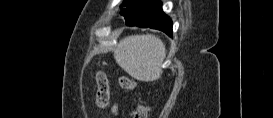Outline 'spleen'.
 Listing matches in <instances>:
<instances>
[{"label":"spleen","instance_id":"3e777b00","mask_svg":"<svg viewBox=\"0 0 273 118\" xmlns=\"http://www.w3.org/2000/svg\"><path fill=\"white\" fill-rule=\"evenodd\" d=\"M165 56L163 42L150 34L128 36L114 49L117 64L139 81L159 79Z\"/></svg>","mask_w":273,"mask_h":118}]
</instances>
